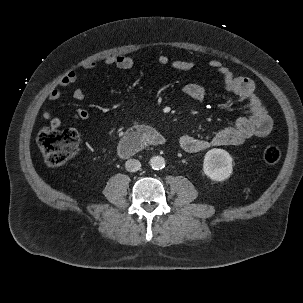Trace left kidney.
Instances as JSON below:
<instances>
[{
	"label": "left kidney",
	"instance_id": "obj_1",
	"mask_svg": "<svg viewBox=\"0 0 303 303\" xmlns=\"http://www.w3.org/2000/svg\"><path fill=\"white\" fill-rule=\"evenodd\" d=\"M203 171L211 180L223 181L232 174L233 159L231 155L223 149H211L205 154Z\"/></svg>",
	"mask_w": 303,
	"mask_h": 303
}]
</instances>
